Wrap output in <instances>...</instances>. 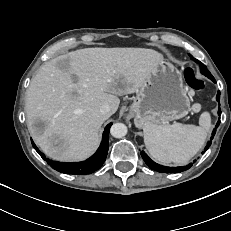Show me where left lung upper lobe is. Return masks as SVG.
Returning a JSON list of instances; mask_svg holds the SVG:
<instances>
[{
  "instance_id": "obj_1",
  "label": "left lung upper lobe",
  "mask_w": 231,
  "mask_h": 231,
  "mask_svg": "<svg viewBox=\"0 0 231 231\" xmlns=\"http://www.w3.org/2000/svg\"><path fill=\"white\" fill-rule=\"evenodd\" d=\"M191 57L192 60H194L197 64H199L201 73L205 76H207L208 78L212 79L213 76L211 75V73L207 70L206 66L201 63L200 61H198L197 59L193 58L191 55H189Z\"/></svg>"
}]
</instances>
